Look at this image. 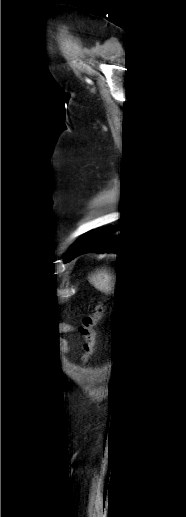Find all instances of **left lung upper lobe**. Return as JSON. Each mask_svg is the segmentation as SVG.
Returning a JSON list of instances; mask_svg holds the SVG:
<instances>
[{
  "label": "left lung upper lobe",
  "instance_id": "5c2ea615",
  "mask_svg": "<svg viewBox=\"0 0 186 517\" xmlns=\"http://www.w3.org/2000/svg\"><path fill=\"white\" fill-rule=\"evenodd\" d=\"M93 232V231H92ZM92 232H89L87 234H85L84 236H82L75 244V246L73 247V249L70 251V253L68 254V260L71 259V257L73 256V254L79 250L81 247L84 246V244L89 240V238L91 237L92 235Z\"/></svg>",
  "mask_w": 186,
  "mask_h": 517
}]
</instances>
